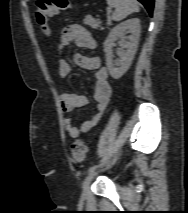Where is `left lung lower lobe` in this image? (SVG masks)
<instances>
[{
  "instance_id": "left-lung-lower-lobe-1",
  "label": "left lung lower lobe",
  "mask_w": 188,
  "mask_h": 213,
  "mask_svg": "<svg viewBox=\"0 0 188 213\" xmlns=\"http://www.w3.org/2000/svg\"><path fill=\"white\" fill-rule=\"evenodd\" d=\"M138 1L141 2L145 6L147 11L151 15L152 11H153V6H154V0H138Z\"/></svg>"
}]
</instances>
